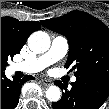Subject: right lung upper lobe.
<instances>
[{"label": "right lung upper lobe", "instance_id": "cb5924a9", "mask_svg": "<svg viewBox=\"0 0 109 109\" xmlns=\"http://www.w3.org/2000/svg\"><path fill=\"white\" fill-rule=\"evenodd\" d=\"M41 27L38 21H18L12 17H1V41L15 54L20 53L27 38Z\"/></svg>", "mask_w": 109, "mask_h": 109}]
</instances>
